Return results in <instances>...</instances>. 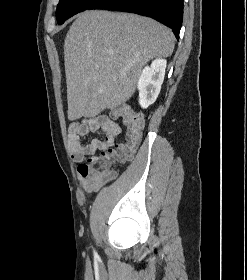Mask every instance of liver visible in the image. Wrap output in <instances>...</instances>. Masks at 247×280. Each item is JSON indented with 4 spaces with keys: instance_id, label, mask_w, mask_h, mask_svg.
Wrapping results in <instances>:
<instances>
[{
    "instance_id": "1",
    "label": "liver",
    "mask_w": 247,
    "mask_h": 280,
    "mask_svg": "<svg viewBox=\"0 0 247 280\" xmlns=\"http://www.w3.org/2000/svg\"><path fill=\"white\" fill-rule=\"evenodd\" d=\"M173 50L172 31L151 18L80 13L64 43L69 120L94 118L125 103L135 92L143 66Z\"/></svg>"
}]
</instances>
